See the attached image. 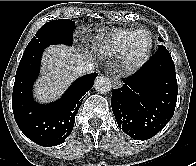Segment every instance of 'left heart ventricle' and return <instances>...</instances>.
<instances>
[{"label":"left heart ventricle","instance_id":"1","mask_svg":"<svg viewBox=\"0 0 196 166\" xmlns=\"http://www.w3.org/2000/svg\"><path fill=\"white\" fill-rule=\"evenodd\" d=\"M147 44H148V37L144 32H139L135 34L131 40L132 50L136 54H140L141 52H143L146 49Z\"/></svg>","mask_w":196,"mask_h":166}]
</instances>
